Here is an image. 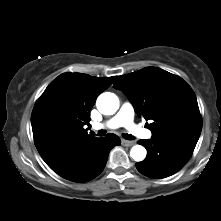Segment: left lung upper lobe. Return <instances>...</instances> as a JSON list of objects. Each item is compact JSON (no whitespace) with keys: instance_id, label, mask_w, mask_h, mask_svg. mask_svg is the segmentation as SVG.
Segmentation results:
<instances>
[{"instance_id":"left-lung-upper-lobe-1","label":"left lung upper lobe","mask_w":221,"mask_h":221,"mask_svg":"<svg viewBox=\"0 0 221 221\" xmlns=\"http://www.w3.org/2000/svg\"><path fill=\"white\" fill-rule=\"evenodd\" d=\"M114 87L123 91L136 113L151 120L153 139L200 136L202 119L196 96L179 76L157 67L121 75Z\"/></svg>"}]
</instances>
